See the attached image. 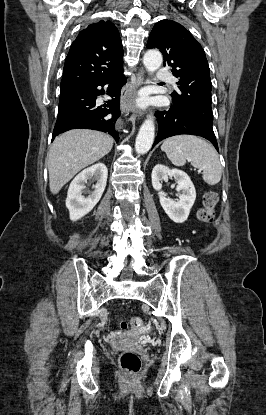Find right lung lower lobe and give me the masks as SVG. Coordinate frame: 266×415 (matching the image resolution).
Masks as SVG:
<instances>
[{"label":"right lung lower lobe","instance_id":"right-lung-lower-lobe-1","mask_svg":"<svg viewBox=\"0 0 266 415\" xmlns=\"http://www.w3.org/2000/svg\"><path fill=\"white\" fill-rule=\"evenodd\" d=\"M125 82L122 69L103 79L61 90L53 139L68 130L86 128L107 132L118 141L115 124L121 113L120 92ZM104 86L106 89H103ZM104 94L112 99L99 105L96 100Z\"/></svg>","mask_w":266,"mask_h":415}]
</instances>
